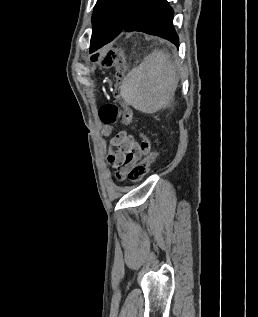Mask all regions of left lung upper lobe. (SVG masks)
I'll list each match as a JSON object with an SVG mask.
<instances>
[{
    "label": "left lung upper lobe",
    "mask_w": 258,
    "mask_h": 317,
    "mask_svg": "<svg viewBox=\"0 0 258 317\" xmlns=\"http://www.w3.org/2000/svg\"><path fill=\"white\" fill-rule=\"evenodd\" d=\"M131 0H97L92 15L93 29L119 28L123 25Z\"/></svg>",
    "instance_id": "5c2ea615"
}]
</instances>
